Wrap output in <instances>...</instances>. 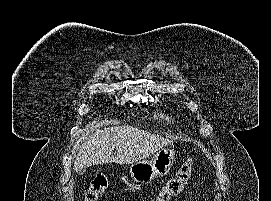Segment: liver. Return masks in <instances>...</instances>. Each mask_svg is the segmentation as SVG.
<instances>
[{"label": "liver", "mask_w": 271, "mask_h": 201, "mask_svg": "<svg viewBox=\"0 0 271 201\" xmlns=\"http://www.w3.org/2000/svg\"><path fill=\"white\" fill-rule=\"evenodd\" d=\"M173 141L130 126L102 129L98 124H89L78 142L79 153L74 161V171L105 164H130L144 160ZM117 155H113V150Z\"/></svg>", "instance_id": "1"}]
</instances>
